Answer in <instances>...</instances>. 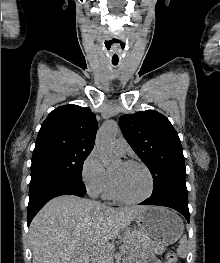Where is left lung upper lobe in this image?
<instances>
[{"label":"left lung upper lobe","instance_id":"obj_1","mask_svg":"<svg viewBox=\"0 0 220 263\" xmlns=\"http://www.w3.org/2000/svg\"><path fill=\"white\" fill-rule=\"evenodd\" d=\"M119 126L152 174L151 197L172 196L188 201L182 146L170 121L157 111L146 110L121 116Z\"/></svg>","mask_w":220,"mask_h":263}]
</instances>
